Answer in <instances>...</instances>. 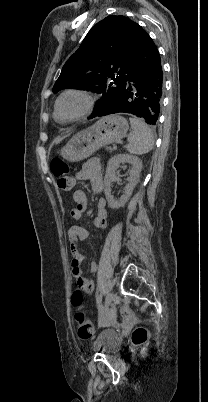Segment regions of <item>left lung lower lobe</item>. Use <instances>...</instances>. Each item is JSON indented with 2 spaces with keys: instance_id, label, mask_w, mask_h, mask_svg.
I'll return each mask as SVG.
<instances>
[{
  "instance_id": "1",
  "label": "left lung lower lobe",
  "mask_w": 208,
  "mask_h": 402,
  "mask_svg": "<svg viewBox=\"0 0 208 402\" xmlns=\"http://www.w3.org/2000/svg\"><path fill=\"white\" fill-rule=\"evenodd\" d=\"M129 71L112 101L95 117L130 113L156 125L163 96V70L159 51L147 32L134 24L129 41ZM94 117V118H95Z\"/></svg>"
}]
</instances>
